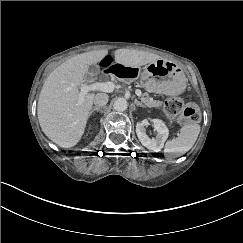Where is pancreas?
I'll list each match as a JSON object with an SVG mask.
<instances>
[{
  "label": "pancreas",
  "mask_w": 243,
  "mask_h": 243,
  "mask_svg": "<svg viewBox=\"0 0 243 243\" xmlns=\"http://www.w3.org/2000/svg\"><path fill=\"white\" fill-rule=\"evenodd\" d=\"M141 101L148 107L152 108H156V109H161L163 107V102L162 101H154L152 99H150V97L148 96L147 93H143L142 97H141Z\"/></svg>",
  "instance_id": "obj_1"
}]
</instances>
